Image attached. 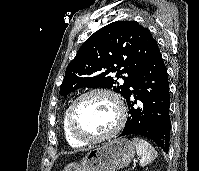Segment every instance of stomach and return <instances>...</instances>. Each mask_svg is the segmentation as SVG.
Masks as SVG:
<instances>
[{"label":"stomach","mask_w":199,"mask_h":171,"mask_svg":"<svg viewBox=\"0 0 199 171\" xmlns=\"http://www.w3.org/2000/svg\"><path fill=\"white\" fill-rule=\"evenodd\" d=\"M135 146L126 138L113 139L91 149L78 162L67 164L62 171H117L133 159Z\"/></svg>","instance_id":"stomach-1"}]
</instances>
